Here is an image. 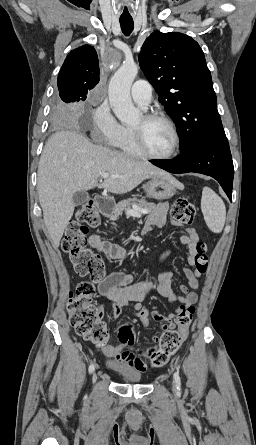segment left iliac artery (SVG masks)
Segmentation results:
<instances>
[{
  "label": "left iliac artery",
  "instance_id": "obj_1",
  "mask_svg": "<svg viewBox=\"0 0 256 445\" xmlns=\"http://www.w3.org/2000/svg\"><path fill=\"white\" fill-rule=\"evenodd\" d=\"M174 380L176 382L177 390L180 391L181 390V380H180V376H179L178 372L174 373Z\"/></svg>",
  "mask_w": 256,
  "mask_h": 445
}]
</instances>
